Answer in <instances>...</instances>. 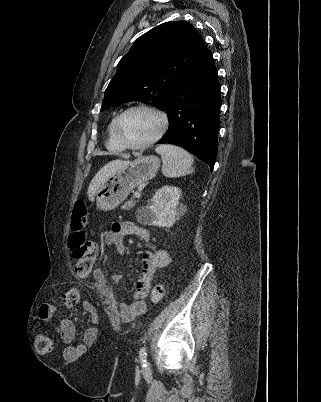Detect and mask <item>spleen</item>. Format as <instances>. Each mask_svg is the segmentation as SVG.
<instances>
[{
  "mask_svg": "<svg viewBox=\"0 0 321 402\" xmlns=\"http://www.w3.org/2000/svg\"><path fill=\"white\" fill-rule=\"evenodd\" d=\"M155 151L161 155L162 173L166 177L176 178L194 172L193 157L185 149L175 145L162 144Z\"/></svg>",
  "mask_w": 321,
  "mask_h": 402,
  "instance_id": "1",
  "label": "spleen"
}]
</instances>
